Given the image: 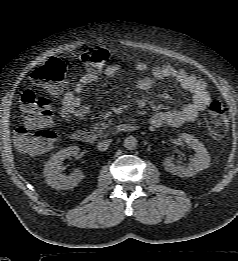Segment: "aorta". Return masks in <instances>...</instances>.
<instances>
[{
	"label": "aorta",
	"mask_w": 238,
	"mask_h": 261,
	"mask_svg": "<svg viewBox=\"0 0 238 261\" xmlns=\"http://www.w3.org/2000/svg\"><path fill=\"white\" fill-rule=\"evenodd\" d=\"M124 147L127 150H134L137 147V139L134 136H128L124 140Z\"/></svg>",
	"instance_id": "aorta-1"
}]
</instances>
